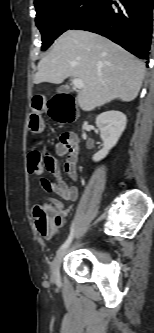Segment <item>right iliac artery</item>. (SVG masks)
Here are the masks:
<instances>
[{
  "instance_id": "obj_1",
  "label": "right iliac artery",
  "mask_w": 154,
  "mask_h": 333,
  "mask_svg": "<svg viewBox=\"0 0 154 333\" xmlns=\"http://www.w3.org/2000/svg\"><path fill=\"white\" fill-rule=\"evenodd\" d=\"M73 234H74V224H72L70 235H69V237L67 238V240L63 243V245L61 246V249H64V248H66V247L69 246V244H70L71 241H72Z\"/></svg>"
}]
</instances>
